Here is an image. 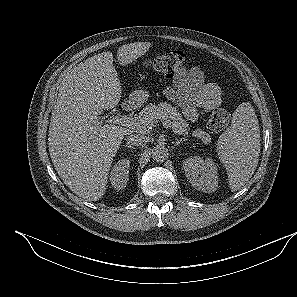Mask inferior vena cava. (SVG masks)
<instances>
[{"instance_id":"inferior-vena-cava-1","label":"inferior vena cava","mask_w":297,"mask_h":297,"mask_svg":"<svg viewBox=\"0 0 297 297\" xmlns=\"http://www.w3.org/2000/svg\"><path fill=\"white\" fill-rule=\"evenodd\" d=\"M126 141L129 145L143 146L149 141V137L142 134H129Z\"/></svg>"}]
</instances>
